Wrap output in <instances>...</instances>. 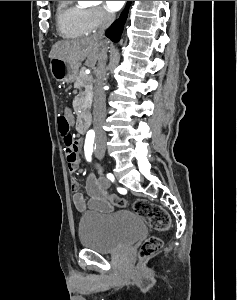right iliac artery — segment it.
Masks as SVG:
<instances>
[{
  "instance_id": "obj_1",
  "label": "right iliac artery",
  "mask_w": 237,
  "mask_h": 300,
  "mask_svg": "<svg viewBox=\"0 0 237 300\" xmlns=\"http://www.w3.org/2000/svg\"><path fill=\"white\" fill-rule=\"evenodd\" d=\"M94 133L88 131L85 139L84 151L87 161H91V155L93 152V143H94Z\"/></svg>"
}]
</instances>
